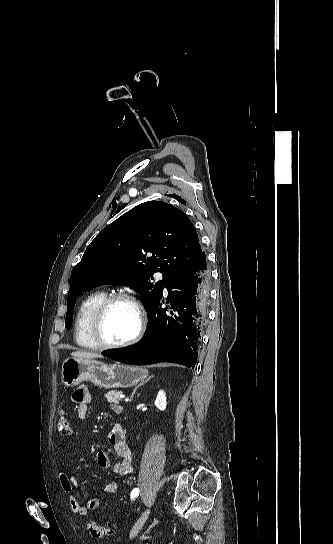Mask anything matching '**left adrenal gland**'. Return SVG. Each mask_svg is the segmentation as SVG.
Here are the masks:
<instances>
[{"label": "left adrenal gland", "mask_w": 333, "mask_h": 544, "mask_svg": "<svg viewBox=\"0 0 333 544\" xmlns=\"http://www.w3.org/2000/svg\"><path fill=\"white\" fill-rule=\"evenodd\" d=\"M150 378H152V376L149 377L146 381L140 383L138 386L135 387V389L133 390L132 395H131V397H130L131 399L133 398V396H134L136 390H137L142 384H144L145 382H147Z\"/></svg>", "instance_id": "left-adrenal-gland-1"}]
</instances>
